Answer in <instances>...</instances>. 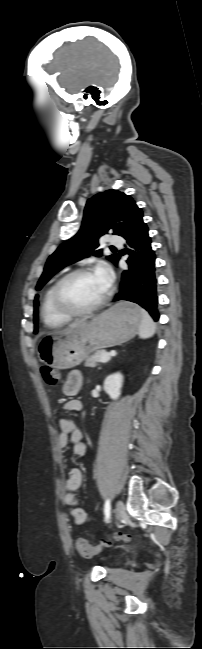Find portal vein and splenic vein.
Wrapping results in <instances>:
<instances>
[{
	"mask_svg": "<svg viewBox=\"0 0 202 649\" xmlns=\"http://www.w3.org/2000/svg\"><path fill=\"white\" fill-rule=\"evenodd\" d=\"M110 354H111V353H108V354H107V353H102V354L100 355V358H99V359H100V362H102V363H106V362H108V361L110 360Z\"/></svg>",
	"mask_w": 202,
	"mask_h": 649,
	"instance_id": "portal-vein-and-splenic-vein-1",
	"label": "portal vein and splenic vein"
}]
</instances>
